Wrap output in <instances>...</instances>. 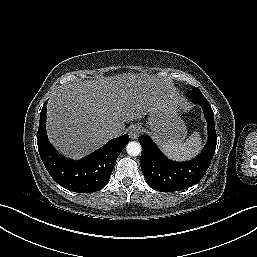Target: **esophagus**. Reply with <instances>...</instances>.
I'll return each instance as SVG.
<instances>
[{
    "instance_id": "1",
    "label": "esophagus",
    "mask_w": 257,
    "mask_h": 257,
    "mask_svg": "<svg viewBox=\"0 0 257 257\" xmlns=\"http://www.w3.org/2000/svg\"><path fill=\"white\" fill-rule=\"evenodd\" d=\"M141 133V127L139 125L131 126L129 130V136L131 139H137Z\"/></svg>"
}]
</instances>
